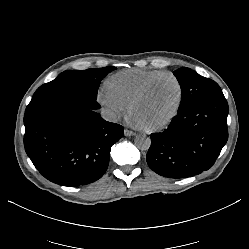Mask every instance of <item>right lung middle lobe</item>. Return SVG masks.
<instances>
[{
    "label": "right lung middle lobe",
    "mask_w": 249,
    "mask_h": 249,
    "mask_svg": "<svg viewBox=\"0 0 249 249\" xmlns=\"http://www.w3.org/2000/svg\"><path fill=\"white\" fill-rule=\"evenodd\" d=\"M116 67L91 68L87 70H67L59 74L53 81L40 86L34 96L56 92L75 91L80 92L87 99L96 101L97 92L101 80Z\"/></svg>",
    "instance_id": "1"
}]
</instances>
